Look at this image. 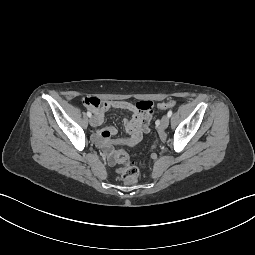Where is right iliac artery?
I'll list each match as a JSON object with an SVG mask.
<instances>
[{
  "label": "right iliac artery",
  "mask_w": 255,
  "mask_h": 255,
  "mask_svg": "<svg viewBox=\"0 0 255 255\" xmlns=\"http://www.w3.org/2000/svg\"><path fill=\"white\" fill-rule=\"evenodd\" d=\"M87 116H88V117H91V116H92V114H91L90 111H87Z\"/></svg>",
  "instance_id": "82829eb1"
}]
</instances>
